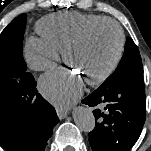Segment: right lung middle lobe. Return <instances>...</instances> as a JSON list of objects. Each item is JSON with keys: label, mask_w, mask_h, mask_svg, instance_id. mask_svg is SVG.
Here are the masks:
<instances>
[{"label": "right lung middle lobe", "mask_w": 151, "mask_h": 151, "mask_svg": "<svg viewBox=\"0 0 151 151\" xmlns=\"http://www.w3.org/2000/svg\"><path fill=\"white\" fill-rule=\"evenodd\" d=\"M26 14L15 18L0 34V75L19 79L27 69L22 54V42L26 25ZM0 99V107L9 103Z\"/></svg>", "instance_id": "1"}]
</instances>
